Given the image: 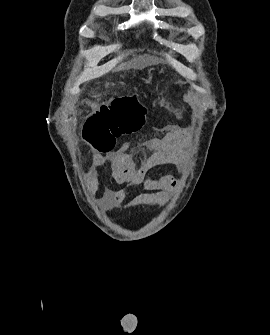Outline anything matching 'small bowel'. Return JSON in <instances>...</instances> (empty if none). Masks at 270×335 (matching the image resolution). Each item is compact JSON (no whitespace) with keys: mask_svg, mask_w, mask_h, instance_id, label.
I'll use <instances>...</instances> for the list:
<instances>
[{"mask_svg":"<svg viewBox=\"0 0 270 335\" xmlns=\"http://www.w3.org/2000/svg\"><path fill=\"white\" fill-rule=\"evenodd\" d=\"M180 116L179 112H175ZM184 130L177 124H168L163 132L145 142L148 153L143 154L137 163L129 153L130 143L125 142L116 152L109 155L94 154L88 171V182L92 187L99 183L100 170L109 168L111 178L121 189L106 188L103 193L102 204L106 209L118 207L138 186H142L144 193L131 202V207L144 204L163 205L167 201V193L178 184L176 178L168 172L151 176L149 172L163 165H178L184 162L185 154L183 141Z\"/></svg>","mask_w":270,"mask_h":335,"instance_id":"small-bowel-1","label":"small bowel"}]
</instances>
